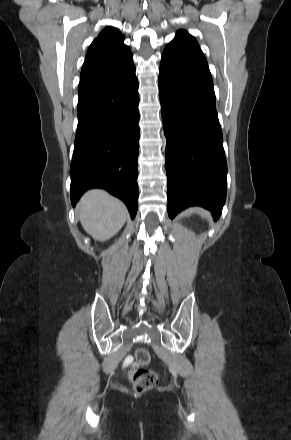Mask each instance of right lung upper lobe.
Returning <instances> with one entry per match:
<instances>
[{
  "instance_id": "obj_1",
  "label": "right lung upper lobe",
  "mask_w": 291,
  "mask_h": 440,
  "mask_svg": "<svg viewBox=\"0 0 291 440\" xmlns=\"http://www.w3.org/2000/svg\"><path fill=\"white\" fill-rule=\"evenodd\" d=\"M124 36L114 27L104 29L91 43L80 74V82L117 76L135 67Z\"/></svg>"
}]
</instances>
